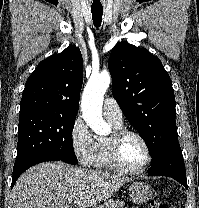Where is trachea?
Here are the masks:
<instances>
[{
    "label": "trachea",
    "instance_id": "obj_1",
    "mask_svg": "<svg viewBox=\"0 0 199 208\" xmlns=\"http://www.w3.org/2000/svg\"><path fill=\"white\" fill-rule=\"evenodd\" d=\"M93 23L96 28L100 27L103 15V9H91Z\"/></svg>",
    "mask_w": 199,
    "mask_h": 208
}]
</instances>
